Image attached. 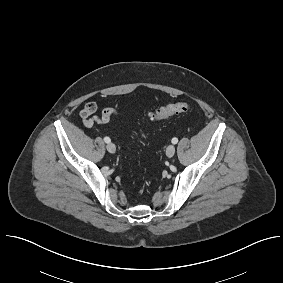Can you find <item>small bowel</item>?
Segmentation results:
<instances>
[{
    "mask_svg": "<svg viewBox=\"0 0 283 283\" xmlns=\"http://www.w3.org/2000/svg\"><path fill=\"white\" fill-rule=\"evenodd\" d=\"M97 106L94 102H86L83 109L80 111V118L83 124L87 127L94 124L107 123L112 117H118L119 111L114 107H107L100 114H96Z\"/></svg>",
    "mask_w": 283,
    "mask_h": 283,
    "instance_id": "1",
    "label": "small bowel"
}]
</instances>
